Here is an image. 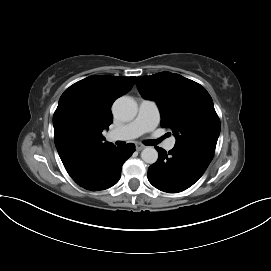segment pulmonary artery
<instances>
[{
	"instance_id": "pulmonary-artery-1",
	"label": "pulmonary artery",
	"mask_w": 271,
	"mask_h": 271,
	"mask_svg": "<svg viewBox=\"0 0 271 271\" xmlns=\"http://www.w3.org/2000/svg\"><path fill=\"white\" fill-rule=\"evenodd\" d=\"M159 120L160 112L156 103L150 100H142L137 117L127 125L111 131L110 136L113 139H133L153 130L158 125ZM175 142L174 137L166 140L164 144L165 149H173Z\"/></svg>"
}]
</instances>
